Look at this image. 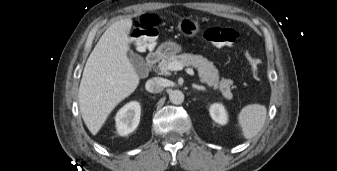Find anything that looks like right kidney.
Here are the masks:
<instances>
[{
	"instance_id": "obj_1",
	"label": "right kidney",
	"mask_w": 337,
	"mask_h": 171,
	"mask_svg": "<svg viewBox=\"0 0 337 171\" xmlns=\"http://www.w3.org/2000/svg\"><path fill=\"white\" fill-rule=\"evenodd\" d=\"M141 107L136 101L130 102L123 106L116 114V129L121 136L133 132L140 121Z\"/></svg>"
}]
</instances>
